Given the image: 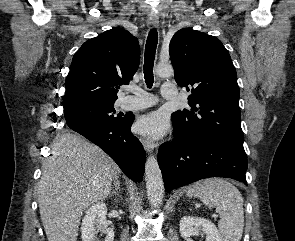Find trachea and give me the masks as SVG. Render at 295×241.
I'll return each mask as SVG.
<instances>
[{"label": "trachea", "mask_w": 295, "mask_h": 241, "mask_svg": "<svg viewBox=\"0 0 295 241\" xmlns=\"http://www.w3.org/2000/svg\"><path fill=\"white\" fill-rule=\"evenodd\" d=\"M157 43H158V33L155 29H152L149 32L147 37V42L145 46L144 67H143L145 83L148 88H151L154 82L153 66H154Z\"/></svg>", "instance_id": "3493384b"}]
</instances>
